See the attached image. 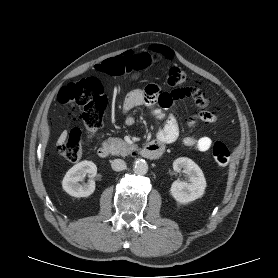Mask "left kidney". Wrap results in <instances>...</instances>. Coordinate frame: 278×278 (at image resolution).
Returning a JSON list of instances; mask_svg holds the SVG:
<instances>
[{"label":"left kidney","instance_id":"5707ae66","mask_svg":"<svg viewBox=\"0 0 278 278\" xmlns=\"http://www.w3.org/2000/svg\"><path fill=\"white\" fill-rule=\"evenodd\" d=\"M173 169L176 172L182 171L189 177V182L176 180L170 188V193L177 202L188 204L203 196L206 180L202 170L194 161L186 157L177 158L173 162Z\"/></svg>","mask_w":278,"mask_h":278}]
</instances>
